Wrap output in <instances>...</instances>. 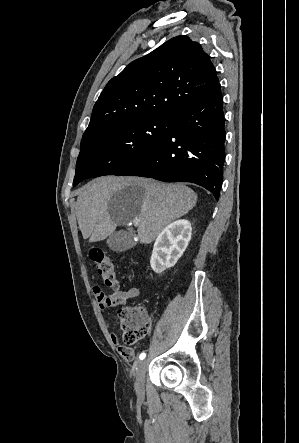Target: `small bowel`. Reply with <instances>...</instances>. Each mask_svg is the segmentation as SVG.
<instances>
[{"label":"small bowel","mask_w":299,"mask_h":443,"mask_svg":"<svg viewBox=\"0 0 299 443\" xmlns=\"http://www.w3.org/2000/svg\"><path fill=\"white\" fill-rule=\"evenodd\" d=\"M94 294L97 298L98 304L102 310L111 309L120 305H125L130 299L139 296L140 291L136 287H130L127 289H116L113 294L106 295L100 287L94 288ZM109 335L112 342L116 345L119 344V338L115 331L109 330ZM133 357V351L127 359Z\"/></svg>","instance_id":"1"}]
</instances>
